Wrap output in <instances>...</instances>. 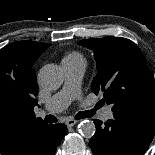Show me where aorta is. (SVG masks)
Returning <instances> with one entry per match:
<instances>
[{
	"instance_id": "762f6f07",
	"label": "aorta",
	"mask_w": 155,
	"mask_h": 155,
	"mask_svg": "<svg viewBox=\"0 0 155 155\" xmlns=\"http://www.w3.org/2000/svg\"><path fill=\"white\" fill-rule=\"evenodd\" d=\"M38 79L42 87L56 90L63 83L64 73L58 65L47 64L40 69ZM78 131L84 138L90 139L95 134L96 127L92 121L84 120L78 125Z\"/></svg>"
}]
</instances>
